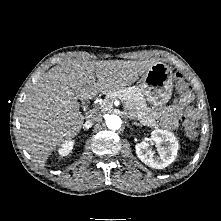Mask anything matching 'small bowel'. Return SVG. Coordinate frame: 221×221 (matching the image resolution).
I'll list each match as a JSON object with an SVG mask.
<instances>
[{"mask_svg": "<svg viewBox=\"0 0 221 221\" xmlns=\"http://www.w3.org/2000/svg\"><path fill=\"white\" fill-rule=\"evenodd\" d=\"M193 96L182 95L178 100L174 101L164 112L161 120L164 126L169 129H175L178 125V119L184 115H192L196 118L197 110L191 106Z\"/></svg>", "mask_w": 221, "mask_h": 221, "instance_id": "obj_1", "label": "small bowel"}]
</instances>
